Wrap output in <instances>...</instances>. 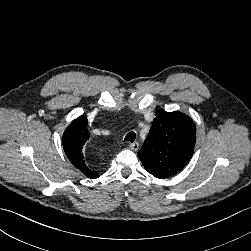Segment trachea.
Returning a JSON list of instances; mask_svg holds the SVG:
<instances>
[{
    "label": "trachea",
    "instance_id": "3493384b",
    "mask_svg": "<svg viewBox=\"0 0 251 251\" xmlns=\"http://www.w3.org/2000/svg\"><path fill=\"white\" fill-rule=\"evenodd\" d=\"M135 138H136L135 132H129V133L126 135L124 141H129V142L133 143L134 140H135Z\"/></svg>",
    "mask_w": 251,
    "mask_h": 251
}]
</instances>
